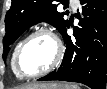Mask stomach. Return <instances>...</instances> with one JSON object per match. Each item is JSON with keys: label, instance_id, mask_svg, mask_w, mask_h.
I'll use <instances>...</instances> for the list:
<instances>
[{"label": "stomach", "instance_id": "0dacf381", "mask_svg": "<svg viewBox=\"0 0 107 89\" xmlns=\"http://www.w3.org/2000/svg\"><path fill=\"white\" fill-rule=\"evenodd\" d=\"M31 89H65V85H53V84H47L44 88L36 87Z\"/></svg>", "mask_w": 107, "mask_h": 89}]
</instances>
